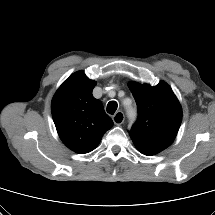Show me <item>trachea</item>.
<instances>
[{"instance_id":"obj_1","label":"trachea","mask_w":215,"mask_h":215,"mask_svg":"<svg viewBox=\"0 0 215 215\" xmlns=\"http://www.w3.org/2000/svg\"><path fill=\"white\" fill-rule=\"evenodd\" d=\"M117 102L116 101H110L108 104H107V112L109 114H114L116 109H117Z\"/></svg>"}]
</instances>
